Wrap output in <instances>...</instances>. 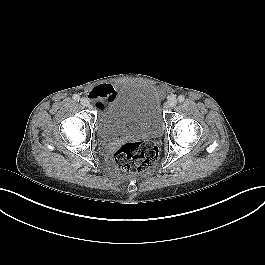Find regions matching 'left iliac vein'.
<instances>
[{
	"instance_id": "obj_1",
	"label": "left iliac vein",
	"mask_w": 265,
	"mask_h": 265,
	"mask_svg": "<svg viewBox=\"0 0 265 265\" xmlns=\"http://www.w3.org/2000/svg\"><path fill=\"white\" fill-rule=\"evenodd\" d=\"M167 103L169 107H174L177 104V99L175 97H171L168 99Z\"/></svg>"
}]
</instances>
